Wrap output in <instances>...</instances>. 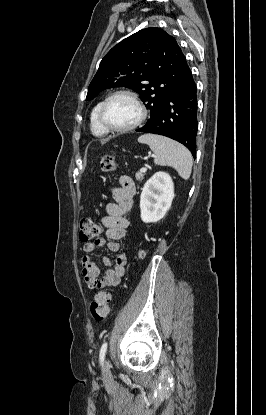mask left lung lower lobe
<instances>
[{
    "mask_svg": "<svg viewBox=\"0 0 266 415\" xmlns=\"http://www.w3.org/2000/svg\"><path fill=\"white\" fill-rule=\"evenodd\" d=\"M197 109V88L192 72L187 66L183 78L167 98L158 115L136 131L174 139L186 146L195 158Z\"/></svg>",
    "mask_w": 266,
    "mask_h": 415,
    "instance_id": "0a47b994",
    "label": "left lung lower lobe"
}]
</instances>
